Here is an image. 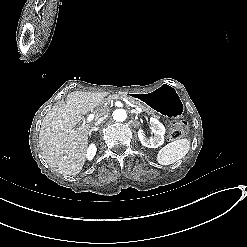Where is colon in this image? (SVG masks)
Listing matches in <instances>:
<instances>
[{
    "instance_id": "1",
    "label": "colon",
    "mask_w": 247,
    "mask_h": 247,
    "mask_svg": "<svg viewBox=\"0 0 247 247\" xmlns=\"http://www.w3.org/2000/svg\"><path fill=\"white\" fill-rule=\"evenodd\" d=\"M187 131V123L182 119H178L173 122L171 126L170 139L175 141L180 139Z\"/></svg>"
}]
</instances>
